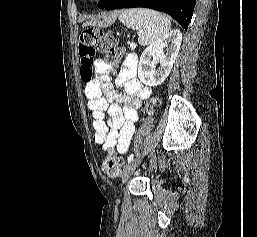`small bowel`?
<instances>
[{"instance_id": "1", "label": "small bowel", "mask_w": 257, "mask_h": 237, "mask_svg": "<svg viewBox=\"0 0 257 237\" xmlns=\"http://www.w3.org/2000/svg\"><path fill=\"white\" fill-rule=\"evenodd\" d=\"M110 69L111 66L105 60H96V78L87 83L85 95L92 112L94 141L104 151L116 148L119 154H125L135 131L138 109L149 98L150 90L136 77V58L133 55L127 57L117 77V84L123 87L124 93L113 89L107 76Z\"/></svg>"}]
</instances>
